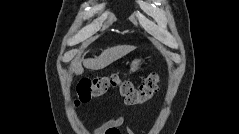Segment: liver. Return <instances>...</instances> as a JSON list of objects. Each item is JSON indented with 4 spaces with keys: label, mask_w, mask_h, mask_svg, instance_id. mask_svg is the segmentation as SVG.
Instances as JSON below:
<instances>
[{
    "label": "liver",
    "mask_w": 239,
    "mask_h": 134,
    "mask_svg": "<svg viewBox=\"0 0 239 134\" xmlns=\"http://www.w3.org/2000/svg\"><path fill=\"white\" fill-rule=\"evenodd\" d=\"M135 49L134 46L129 45H122V46H115L112 48H108L104 50L99 57L96 58H89V59H83L80 62H76L73 64L72 71L76 75H80L83 73L85 68L91 69V70H99L107 67L114 61L122 58L123 56L127 55L131 51Z\"/></svg>",
    "instance_id": "6515ba94"
}]
</instances>
